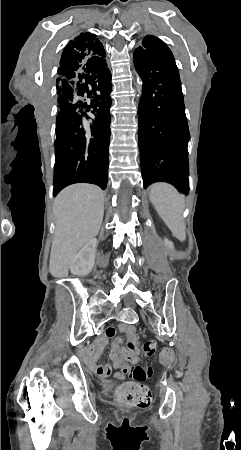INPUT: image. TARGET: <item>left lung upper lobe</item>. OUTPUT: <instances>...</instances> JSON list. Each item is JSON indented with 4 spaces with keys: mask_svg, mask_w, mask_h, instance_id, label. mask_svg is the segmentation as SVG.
I'll return each mask as SVG.
<instances>
[{
    "mask_svg": "<svg viewBox=\"0 0 241 450\" xmlns=\"http://www.w3.org/2000/svg\"><path fill=\"white\" fill-rule=\"evenodd\" d=\"M166 44L158 39L157 37L148 35L146 36L142 41V46H140L138 49L140 50H151V51H157L164 47Z\"/></svg>",
    "mask_w": 241,
    "mask_h": 450,
    "instance_id": "obj_1",
    "label": "left lung upper lobe"
}]
</instances>
